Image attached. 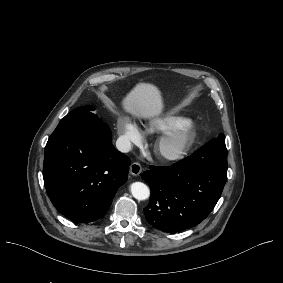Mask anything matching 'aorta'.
Segmentation results:
<instances>
[{
	"label": "aorta",
	"mask_w": 283,
	"mask_h": 283,
	"mask_svg": "<svg viewBox=\"0 0 283 283\" xmlns=\"http://www.w3.org/2000/svg\"><path fill=\"white\" fill-rule=\"evenodd\" d=\"M130 191L133 197L137 200H146L150 196L149 187L142 182H134L130 186Z\"/></svg>",
	"instance_id": "aorta-1"
}]
</instances>
